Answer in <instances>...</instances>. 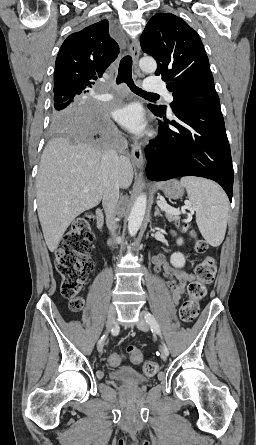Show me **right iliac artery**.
<instances>
[{
    "label": "right iliac artery",
    "instance_id": "right-iliac-artery-1",
    "mask_svg": "<svg viewBox=\"0 0 256 445\" xmlns=\"http://www.w3.org/2000/svg\"><path fill=\"white\" fill-rule=\"evenodd\" d=\"M105 338H106V335H103V336L100 338V340L98 341V343H100L102 340H105Z\"/></svg>",
    "mask_w": 256,
    "mask_h": 445
}]
</instances>
